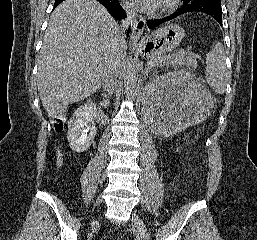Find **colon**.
<instances>
[{
    "mask_svg": "<svg viewBox=\"0 0 257 240\" xmlns=\"http://www.w3.org/2000/svg\"><path fill=\"white\" fill-rule=\"evenodd\" d=\"M53 124L57 131H61L63 129V121L60 116H55L53 118Z\"/></svg>",
    "mask_w": 257,
    "mask_h": 240,
    "instance_id": "colon-1",
    "label": "colon"
}]
</instances>
